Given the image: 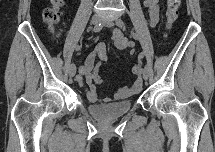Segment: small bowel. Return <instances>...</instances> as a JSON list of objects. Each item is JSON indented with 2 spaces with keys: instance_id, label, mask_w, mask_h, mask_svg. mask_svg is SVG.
I'll list each match as a JSON object with an SVG mask.
<instances>
[{
  "instance_id": "c3829d8e",
  "label": "small bowel",
  "mask_w": 215,
  "mask_h": 152,
  "mask_svg": "<svg viewBox=\"0 0 215 152\" xmlns=\"http://www.w3.org/2000/svg\"><path fill=\"white\" fill-rule=\"evenodd\" d=\"M144 5L148 8L149 13V25L151 28L155 27L159 21V6L157 0H145ZM112 39L117 49L119 50H131L133 53V42L129 41L119 29H115L112 33ZM108 61V52L106 45L103 42H99L94 47L93 51L88 55L84 64L79 66L77 81L80 84L85 83V89L88 99L91 102L108 103L109 98L102 97L96 85L103 82L100 66L102 62ZM142 83L140 80H136L131 86L119 88L115 93L117 100L125 99L129 96L135 95L140 92Z\"/></svg>"
}]
</instances>
